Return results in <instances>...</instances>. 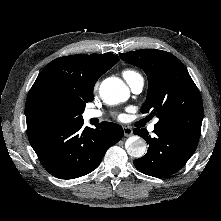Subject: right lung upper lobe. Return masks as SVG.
I'll list each match as a JSON object with an SVG mask.
<instances>
[{
  "label": "right lung upper lobe",
  "instance_id": "1",
  "mask_svg": "<svg viewBox=\"0 0 221 221\" xmlns=\"http://www.w3.org/2000/svg\"><path fill=\"white\" fill-rule=\"evenodd\" d=\"M118 55L76 54L50 62L31 87L25 106L27 133L44 126L40 104L49 95H60L78 103L93 100V88L98 78L118 61Z\"/></svg>",
  "mask_w": 221,
  "mask_h": 221
}]
</instances>
